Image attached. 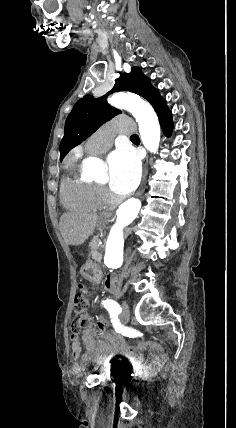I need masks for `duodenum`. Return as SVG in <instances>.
<instances>
[{
	"label": "duodenum",
	"instance_id": "obj_1",
	"mask_svg": "<svg viewBox=\"0 0 236 428\" xmlns=\"http://www.w3.org/2000/svg\"><path fill=\"white\" fill-rule=\"evenodd\" d=\"M117 277L115 274H109L107 276L106 282L109 283L110 285H113L116 283Z\"/></svg>",
	"mask_w": 236,
	"mask_h": 428
}]
</instances>
